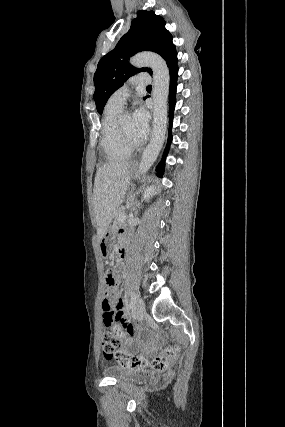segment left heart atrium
Returning <instances> with one entry per match:
<instances>
[{"mask_svg":"<svg viewBox=\"0 0 285 427\" xmlns=\"http://www.w3.org/2000/svg\"><path fill=\"white\" fill-rule=\"evenodd\" d=\"M149 114L143 106H139L132 115L133 130L138 141L143 140L149 130Z\"/></svg>","mask_w":285,"mask_h":427,"instance_id":"39dd6f15","label":"left heart atrium"}]
</instances>
